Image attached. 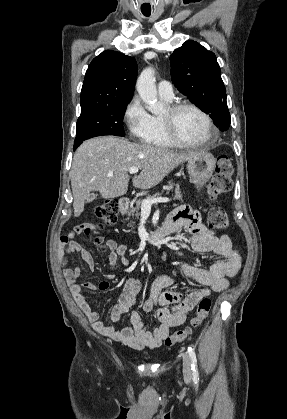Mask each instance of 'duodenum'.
I'll return each instance as SVG.
<instances>
[{
  "label": "duodenum",
  "instance_id": "duodenum-1",
  "mask_svg": "<svg viewBox=\"0 0 287 419\" xmlns=\"http://www.w3.org/2000/svg\"><path fill=\"white\" fill-rule=\"evenodd\" d=\"M119 207H120L121 213H125L129 207V201L124 198L120 199ZM171 232H172V229L169 226L164 225L163 227L153 231L148 236L147 242L149 245H157L163 239H165Z\"/></svg>",
  "mask_w": 287,
  "mask_h": 419
}]
</instances>
